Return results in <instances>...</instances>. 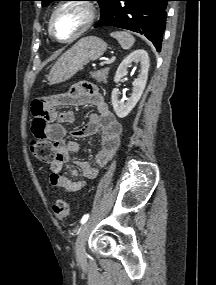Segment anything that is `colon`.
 Returning a JSON list of instances; mask_svg holds the SVG:
<instances>
[{
  "label": "colon",
  "mask_w": 216,
  "mask_h": 285,
  "mask_svg": "<svg viewBox=\"0 0 216 285\" xmlns=\"http://www.w3.org/2000/svg\"><path fill=\"white\" fill-rule=\"evenodd\" d=\"M44 136H35L30 142V151L42 162H52L55 159L56 153L50 141H44ZM53 213L60 221H66L69 217L71 206L69 202L57 200L53 206Z\"/></svg>",
  "instance_id": "1"
}]
</instances>
